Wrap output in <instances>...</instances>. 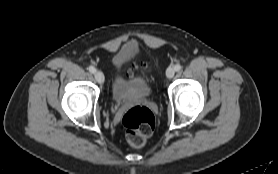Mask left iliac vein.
<instances>
[{
    "instance_id": "left-iliac-vein-1",
    "label": "left iliac vein",
    "mask_w": 278,
    "mask_h": 174,
    "mask_svg": "<svg viewBox=\"0 0 278 174\" xmlns=\"http://www.w3.org/2000/svg\"><path fill=\"white\" fill-rule=\"evenodd\" d=\"M174 74H175V69L174 68H172V67L167 68L166 76H167L168 79L173 78Z\"/></svg>"
}]
</instances>
